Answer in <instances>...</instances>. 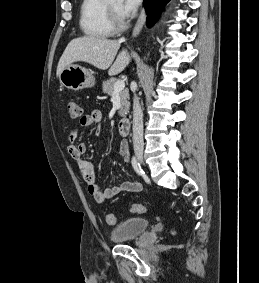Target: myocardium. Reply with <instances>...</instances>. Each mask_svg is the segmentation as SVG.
<instances>
[{"label":"myocardium","mask_w":259,"mask_h":283,"mask_svg":"<svg viewBox=\"0 0 259 283\" xmlns=\"http://www.w3.org/2000/svg\"><path fill=\"white\" fill-rule=\"evenodd\" d=\"M108 6H109V10L111 13V18L114 23V26L119 30L123 29L125 26V23H124V19H123V16L120 10L118 8H115L111 4H108Z\"/></svg>","instance_id":"f54148a6"}]
</instances>
